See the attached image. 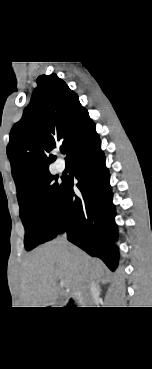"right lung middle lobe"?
I'll return each mask as SVG.
<instances>
[{
    "instance_id": "right-lung-middle-lobe-1",
    "label": "right lung middle lobe",
    "mask_w": 152,
    "mask_h": 369,
    "mask_svg": "<svg viewBox=\"0 0 152 369\" xmlns=\"http://www.w3.org/2000/svg\"><path fill=\"white\" fill-rule=\"evenodd\" d=\"M57 178L58 176L47 174L18 198L27 251L51 240L57 231L58 203L63 187V182H54Z\"/></svg>"
}]
</instances>
